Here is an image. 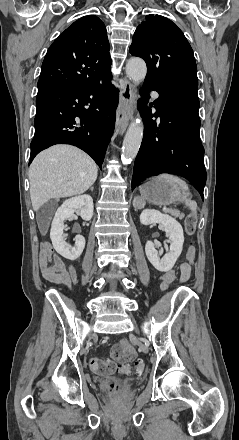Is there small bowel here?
<instances>
[{
    "instance_id": "obj_1",
    "label": "small bowel",
    "mask_w": 239,
    "mask_h": 440,
    "mask_svg": "<svg viewBox=\"0 0 239 440\" xmlns=\"http://www.w3.org/2000/svg\"><path fill=\"white\" fill-rule=\"evenodd\" d=\"M40 267L44 278L55 284L72 286L75 282V270L72 266H66L62 258L54 253L49 244H45L40 252ZM180 281L185 282L190 276V266L182 263L180 266Z\"/></svg>"
}]
</instances>
